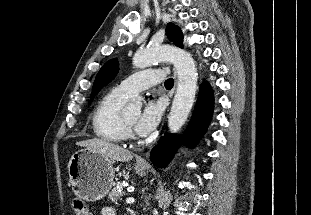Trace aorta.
Returning a JSON list of instances; mask_svg holds the SVG:
<instances>
[{"label": "aorta", "mask_w": 311, "mask_h": 215, "mask_svg": "<svg viewBox=\"0 0 311 215\" xmlns=\"http://www.w3.org/2000/svg\"><path fill=\"white\" fill-rule=\"evenodd\" d=\"M171 62L178 76L176 94L168 116V128L171 133H177L185 124L192 109L196 90L198 73L195 62L187 51L169 46H150L138 50L133 57V65L136 68H145L154 62ZM141 98H134L128 104V109H140Z\"/></svg>", "instance_id": "aorta-1"}]
</instances>
